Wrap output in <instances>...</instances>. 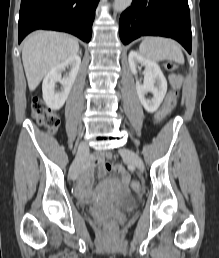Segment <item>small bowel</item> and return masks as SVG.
Listing matches in <instances>:
<instances>
[{"mask_svg": "<svg viewBox=\"0 0 219 258\" xmlns=\"http://www.w3.org/2000/svg\"><path fill=\"white\" fill-rule=\"evenodd\" d=\"M170 85H173L175 87H180V85H183V78L180 75L172 74L169 76ZM108 155L103 156H95L93 159V162L95 165L99 167V174L101 176L105 175L106 171L110 169L111 167H114V162H107L106 159L108 158ZM114 172H116V176H121L120 183L121 184H128L129 180L132 178L131 174H128L127 171H125V167H114ZM94 177L93 170L87 171L85 174H83L78 182L77 185V192L81 197L88 196V189L87 187L92 183Z\"/></svg>", "mask_w": 219, "mask_h": 258, "instance_id": "1", "label": "small bowel"}]
</instances>
